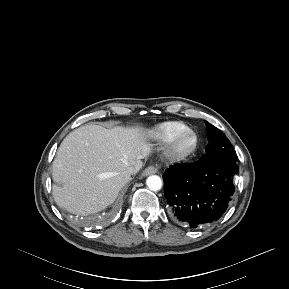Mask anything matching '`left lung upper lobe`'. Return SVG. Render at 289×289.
Wrapping results in <instances>:
<instances>
[{
	"label": "left lung upper lobe",
	"mask_w": 289,
	"mask_h": 289,
	"mask_svg": "<svg viewBox=\"0 0 289 289\" xmlns=\"http://www.w3.org/2000/svg\"><path fill=\"white\" fill-rule=\"evenodd\" d=\"M207 126L209 143L206 146V153L200 159L217 164L236 163V152L225 134L211 124L207 123Z\"/></svg>",
	"instance_id": "obj_1"
}]
</instances>
